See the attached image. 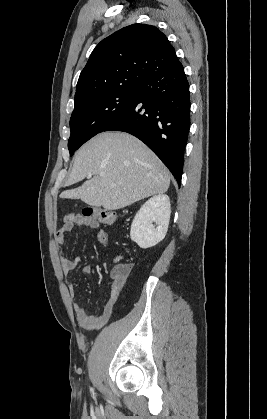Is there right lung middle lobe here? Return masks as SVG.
I'll return each mask as SVG.
<instances>
[{
  "mask_svg": "<svg viewBox=\"0 0 267 419\" xmlns=\"http://www.w3.org/2000/svg\"><path fill=\"white\" fill-rule=\"evenodd\" d=\"M139 86L101 92L74 104L70 119L71 135L68 141L70 156L82 144L103 130L126 110Z\"/></svg>",
  "mask_w": 267,
  "mask_h": 419,
  "instance_id": "obj_1",
  "label": "right lung middle lobe"
}]
</instances>
